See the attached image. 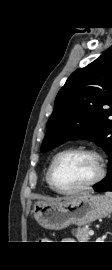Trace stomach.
I'll list each match as a JSON object with an SVG mask.
<instances>
[{
    "label": "stomach",
    "instance_id": "1",
    "mask_svg": "<svg viewBox=\"0 0 112 270\" xmlns=\"http://www.w3.org/2000/svg\"><path fill=\"white\" fill-rule=\"evenodd\" d=\"M112 213V199L84 193L66 200L37 201L33 206L36 221L45 229L61 230L69 225L84 226Z\"/></svg>",
    "mask_w": 112,
    "mask_h": 270
}]
</instances>
